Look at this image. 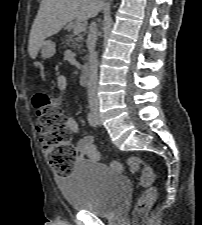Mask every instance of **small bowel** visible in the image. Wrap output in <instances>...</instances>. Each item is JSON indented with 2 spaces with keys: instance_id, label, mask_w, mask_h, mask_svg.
I'll use <instances>...</instances> for the list:
<instances>
[{
  "instance_id": "small-bowel-1",
  "label": "small bowel",
  "mask_w": 202,
  "mask_h": 225,
  "mask_svg": "<svg viewBox=\"0 0 202 225\" xmlns=\"http://www.w3.org/2000/svg\"><path fill=\"white\" fill-rule=\"evenodd\" d=\"M68 85V78L66 75H59L57 78V88L60 92L64 91ZM66 126L71 133H76L79 130L78 121L73 117L66 119ZM78 149L81 158L90 160H98L100 158L99 152L93 144V137L86 136L80 139Z\"/></svg>"
}]
</instances>
